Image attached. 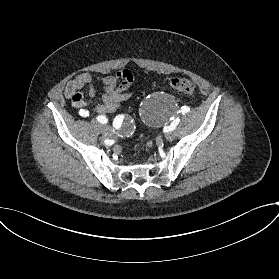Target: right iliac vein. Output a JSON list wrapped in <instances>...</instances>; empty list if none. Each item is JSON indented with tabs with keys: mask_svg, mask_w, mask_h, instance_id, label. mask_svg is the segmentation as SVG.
Listing matches in <instances>:
<instances>
[{
	"mask_svg": "<svg viewBox=\"0 0 279 279\" xmlns=\"http://www.w3.org/2000/svg\"><path fill=\"white\" fill-rule=\"evenodd\" d=\"M100 131H101L102 134H108V135L111 134V129H110L109 126L100 127Z\"/></svg>",
	"mask_w": 279,
	"mask_h": 279,
	"instance_id": "1",
	"label": "right iliac vein"
}]
</instances>
